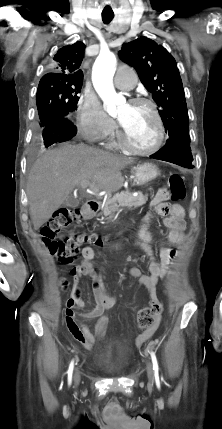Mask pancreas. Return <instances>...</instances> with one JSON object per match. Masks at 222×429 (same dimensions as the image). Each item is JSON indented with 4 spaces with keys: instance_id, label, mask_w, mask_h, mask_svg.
Returning a JSON list of instances; mask_svg holds the SVG:
<instances>
[{
    "instance_id": "cf45deb5",
    "label": "pancreas",
    "mask_w": 222,
    "mask_h": 429,
    "mask_svg": "<svg viewBox=\"0 0 222 429\" xmlns=\"http://www.w3.org/2000/svg\"><path fill=\"white\" fill-rule=\"evenodd\" d=\"M147 201V195L139 193L137 196H133L129 192H122L118 195H115L112 198H107L102 207V212L105 216H112L119 207L127 208H138L144 205Z\"/></svg>"
}]
</instances>
